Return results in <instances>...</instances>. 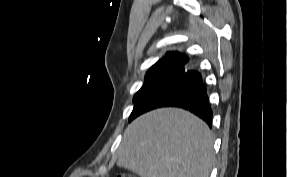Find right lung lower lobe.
Listing matches in <instances>:
<instances>
[{"label":"right lung lower lobe","mask_w":287,"mask_h":177,"mask_svg":"<svg viewBox=\"0 0 287 177\" xmlns=\"http://www.w3.org/2000/svg\"><path fill=\"white\" fill-rule=\"evenodd\" d=\"M180 107L194 113L208 125L212 109L201 74L188 66L175 69L158 79L135 103L131 120L158 107Z\"/></svg>","instance_id":"1"}]
</instances>
